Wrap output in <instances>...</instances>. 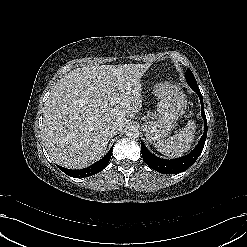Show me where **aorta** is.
I'll return each instance as SVG.
<instances>
[{
	"mask_svg": "<svg viewBox=\"0 0 247 247\" xmlns=\"http://www.w3.org/2000/svg\"><path fill=\"white\" fill-rule=\"evenodd\" d=\"M126 135L130 138H138L139 137V130L135 126H131L126 130Z\"/></svg>",
	"mask_w": 247,
	"mask_h": 247,
	"instance_id": "762f6f07",
	"label": "aorta"
}]
</instances>
